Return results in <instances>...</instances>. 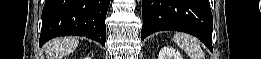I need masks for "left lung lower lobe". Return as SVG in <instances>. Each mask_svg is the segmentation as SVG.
Listing matches in <instances>:
<instances>
[{
  "instance_id": "0a47b994",
  "label": "left lung lower lobe",
  "mask_w": 261,
  "mask_h": 59,
  "mask_svg": "<svg viewBox=\"0 0 261 59\" xmlns=\"http://www.w3.org/2000/svg\"><path fill=\"white\" fill-rule=\"evenodd\" d=\"M141 40L172 30L199 38L212 51L213 19L209 0H143Z\"/></svg>"
}]
</instances>
